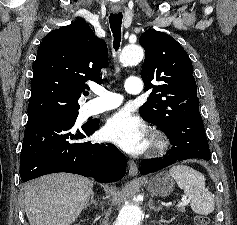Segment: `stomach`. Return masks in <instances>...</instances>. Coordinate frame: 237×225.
Returning <instances> with one entry per match:
<instances>
[{
	"instance_id": "stomach-1",
	"label": "stomach",
	"mask_w": 237,
	"mask_h": 225,
	"mask_svg": "<svg viewBox=\"0 0 237 225\" xmlns=\"http://www.w3.org/2000/svg\"><path fill=\"white\" fill-rule=\"evenodd\" d=\"M147 190L154 196L166 197L174 190L175 182L167 172H160L146 180Z\"/></svg>"
}]
</instances>
